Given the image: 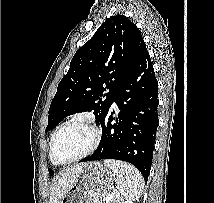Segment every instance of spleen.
I'll return each mask as SVG.
<instances>
[{
    "instance_id": "obj_1",
    "label": "spleen",
    "mask_w": 214,
    "mask_h": 203,
    "mask_svg": "<svg viewBox=\"0 0 214 203\" xmlns=\"http://www.w3.org/2000/svg\"><path fill=\"white\" fill-rule=\"evenodd\" d=\"M104 164L115 174L116 203H122L123 200H137L141 197L144 180L135 167L117 160H105Z\"/></svg>"
}]
</instances>
